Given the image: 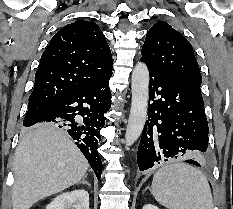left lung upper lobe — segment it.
I'll list each match as a JSON object with an SVG mask.
<instances>
[{
  "mask_svg": "<svg viewBox=\"0 0 233 209\" xmlns=\"http://www.w3.org/2000/svg\"><path fill=\"white\" fill-rule=\"evenodd\" d=\"M142 60L164 72L182 77L200 88L198 62L188 40L168 23H155L147 32Z\"/></svg>",
  "mask_w": 233,
  "mask_h": 209,
  "instance_id": "5c2ea615",
  "label": "left lung upper lobe"
}]
</instances>
